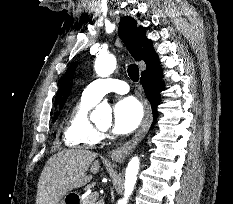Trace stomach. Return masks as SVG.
I'll list each match as a JSON object with an SVG mask.
<instances>
[{
    "instance_id": "stomach-1",
    "label": "stomach",
    "mask_w": 233,
    "mask_h": 204,
    "mask_svg": "<svg viewBox=\"0 0 233 204\" xmlns=\"http://www.w3.org/2000/svg\"><path fill=\"white\" fill-rule=\"evenodd\" d=\"M58 204H66V197L62 199Z\"/></svg>"
}]
</instances>
